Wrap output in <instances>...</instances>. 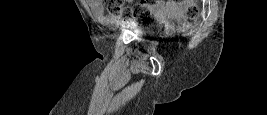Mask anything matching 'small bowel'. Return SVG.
Wrapping results in <instances>:
<instances>
[{
  "label": "small bowel",
  "mask_w": 267,
  "mask_h": 115,
  "mask_svg": "<svg viewBox=\"0 0 267 115\" xmlns=\"http://www.w3.org/2000/svg\"><path fill=\"white\" fill-rule=\"evenodd\" d=\"M88 5L91 8L92 12L100 19H107V16L104 11V7L99 0H88ZM167 9L176 10V6L174 4H166L165 2L159 1L154 6V12L161 14L165 12Z\"/></svg>",
  "instance_id": "small-bowel-1"
}]
</instances>
